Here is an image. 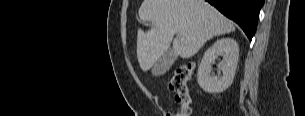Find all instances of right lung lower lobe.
I'll return each mask as SVG.
<instances>
[{"mask_svg":"<svg viewBox=\"0 0 305 116\" xmlns=\"http://www.w3.org/2000/svg\"><path fill=\"white\" fill-rule=\"evenodd\" d=\"M226 17L235 21L249 40L255 34L259 11L264 0H206Z\"/></svg>","mask_w":305,"mask_h":116,"instance_id":"obj_1","label":"right lung lower lobe"}]
</instances>
